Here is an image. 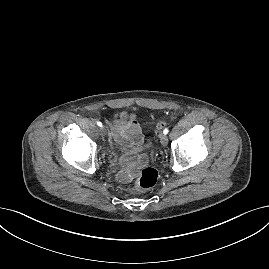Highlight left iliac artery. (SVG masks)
I'll return each instance as SVG.
<instances>
[{
	"mask_svg": "<svg viewBox=\"0 0 269 269\" xmlns=\"http://www.w3.org/2000/svg\"><path fill=\"white\" fill-rule=\"evenodd\" d=\"M168 132H169L168 128H165L164 131H163L164 134H168Z\"/></svg>",
	"mask_w": 269,
	"mask_h": 269,
	"instance_id": "44dca946",
	"label": "left iliac artery"
}]
</instances>
